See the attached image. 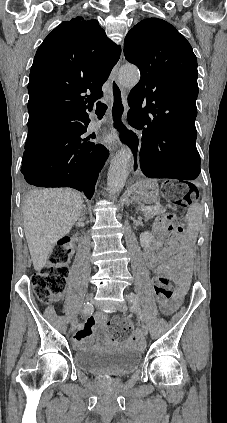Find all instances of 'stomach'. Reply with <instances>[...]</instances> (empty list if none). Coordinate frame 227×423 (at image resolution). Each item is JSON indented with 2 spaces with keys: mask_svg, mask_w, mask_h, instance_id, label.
<instances>
[{
  "mask_svg": "<svg viewBox=\"0 0 227 423\" xmlns=\"http://www.w3.org/2000/svg\"><path fill=\"white\" fill-rule=\"evenodd\" d=\"M133 194L138 202L154 204L159 200L158 184L154 180H140L134 184Z\"/></svg>",
  "mask_w": 227,
  "mask_h": 423,
  "instance_id": "obj_1",
  "label": "stomach"
}]
</instances>
